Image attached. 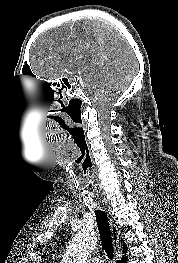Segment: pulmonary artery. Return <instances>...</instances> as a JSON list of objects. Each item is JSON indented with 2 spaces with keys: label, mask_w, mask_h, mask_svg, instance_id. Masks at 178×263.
I'll return each mask as SVG.
<instances>
[{
  "label": "pulmonary artery",
  "mask_w": 178,
  "mask_h": 263,
  "mask_svg": "<svg viewBox=\"0 0 178 263\" xmlns=\"http://www.w3.org/2000/svg\"><path fill=\"white\" fill-rule=\"evenodd\" d=\"M87 263H104V261L102 260V258L98 256H94V257L89 258Z\"/></svg>",
  "instance_id": "e3ab8cb5"
}]
</instances>
